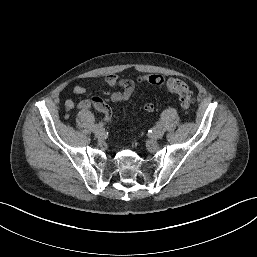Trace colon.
Listing matches in <instances>:
<instances>
[{"mask_svg":"<svg viewBox=\"0 0 257 257\" xmlns=\"http://www.w3.org/2000/svg\"><path fill=\"white\" fill-rule=\"evenodd\" d=\"M165 86L169 92L178 96L182 108L188 112L194 102L193 94L188 85L180 79H169Z\"/></svg>","mask_w":257,"mask_h":257,"instance_id":"obj_1","label":"colon"}]
</instances>
